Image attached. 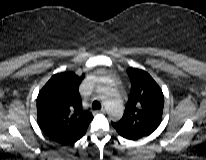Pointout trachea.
I'll return each instance as SVG.
<instances>
[{"label": "trachea", "instance_id": "1", "mask_svg": "<svg viewBox=\"0 0 206 160\" xmlns=\"http://www.w3.org/2000/svg\"><path fill=\"white\" fill-rule=\"evenodd\" d=\"M101 108V104H100V102H98V101H94L93 103H92V109H100Z\"/></svg>", "mask_w": 206, "mask_h": 160}]
</instances>
